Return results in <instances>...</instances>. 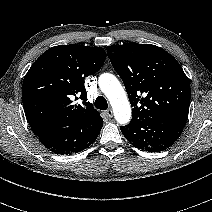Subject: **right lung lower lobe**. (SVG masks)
<instances>
[{
  "instance_id": "98d812e1",
  "label": "right lung lower lobe",
  "mask_w": 212,
  "mask_h": 212,
  "mask_svg": "<svg viewBox=\"0 0 212 212\" xmlns=\"http://www.w3.org/2000/svg\"><path fill=\"white\" fill-rule=\"evenodd\" d=\"M102 126L103 120L92 126L73 124L65 128L46 130L37 134V137L53 153L70 155L88 148L95 142Z\"/></svg>"
}]
</instances>
